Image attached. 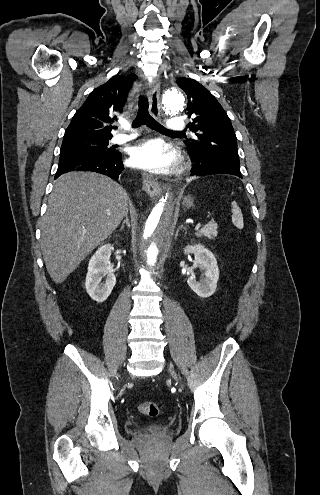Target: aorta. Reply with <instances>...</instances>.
I'll use <instances>...</instances> for the list:
<instances>
[{
	"label": "aorta",
	"instance_id": "1",
	"mask_svg": "<svg viewBox=\"0 0 320 495\" xmlns=\"http://www.w3.org/2000/svg\"><path fill=\"white\" fill-rule=\"evenodd\" d=\"M184 105V97L179 89H168L163 94L164 110L169 114H177ZM174 207L169 195L162 197L145 220L141 238L142 254L149 266L158 260L160 248L168 239L172 230Z\"/></svg>",
	"mask_w": 320,
	"mask_h": 495
}]
</instances>
